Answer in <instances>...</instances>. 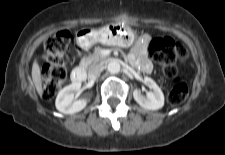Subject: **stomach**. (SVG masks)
Wrapping results in <instances>:
<instances>
[{"instance_id": "0dacf381", "label": "stomach", "mask_w": 225, "mask_h": 155, "mask_svg": "<svg viewBox=\"0 0 225 155\" xmlns=\"http://www.w3.org/2000/svg\"><path fill=\"white\" fill-rule=\"evenodd\" d=\"M136 36L134 32L121 23H111L99 30L81 29L77 32V42L80 46L89 48L95 43L130 47Z\"/></svg>"}]
</instances>
